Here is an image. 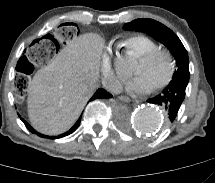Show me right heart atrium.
<instances>
[{"instance_id":"1","label":"right heart atrium","mask_w":215,"mask_h":183,"mask_svg":"<svg viewBox=\"0 0 215 183\" xmlns=\"http://www.w3.org/2000/svg\"><path fill=\"white\" fill-rule=\"evenodd\" d=\"M102 70L108 81V88L110 90H115L119 81V77L117 76L111 57L109 54L104 53L102 57Z\"/></svg>"}]
</instances>
